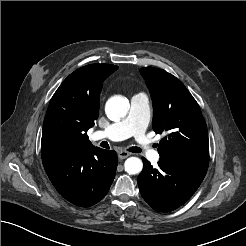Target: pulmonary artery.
<instances>
[{
  "mask_svg": "<svg viewBox=\"0 0 246 246\" xmlns=\"http://www.w3.org/2000/svg\"><path fill=\"white\" fill-rule=\"evenodd\" d=\"M151 119V107L145 93L135 94L131 98L128 115L119 122L111 124L105 130L93 134V139L121 141L134 137L145 156L152 162L159 160V154L151 147L145 132Z\"/></svg>",
  "mask_w": 246,
  "mask_h": 246,
  "instance_id": "pulmonary-artery-1",
  "label": "pulmonary artery"
}]
</instances>
